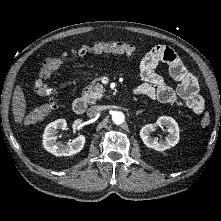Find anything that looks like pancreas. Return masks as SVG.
<instances>
[{"instance_id": "obj_1", "label": "pancreas", "mask_w": 221, "mask_h": 221, "mask_svg": "<svg viewBox=\"0 0 221 221\" xmlns=\"http://www.w3.org/2000/svg\"><path fill=\"white\" fill-rule=\"evenodd\" d=\"M104 88L101 84H92L88 86L87 90L82 92V98L88 103H94L103 96Z\"/></svg>"}]
</instances>
